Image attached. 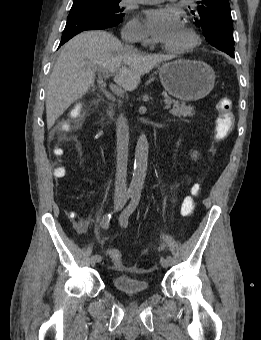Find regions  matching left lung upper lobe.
Instances as JSON below:
<instances>
[{
	"mask_svg": "<svg viewBox=\"0 0 261 340\" xmlns=\"http://www.w3.org/2000/svg\"><path fill=\"white\" fill-rule=\"evenodd\" d=\"M191 13L202 27L206 41L227 54H234L233 24L228 0H198Z\"/></svg>",
	"mask_w": 261,
	"mask_h": 340,
	"instance_id": "obj_1",
	"label": "left lung upper lobe"
}]
</instances>
